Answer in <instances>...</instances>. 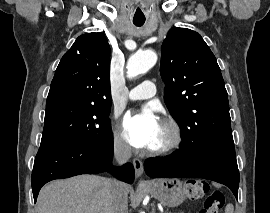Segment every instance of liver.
I'll return each instance as SVG.
<instances>
[{"label": "liver", "mask_w": 270, "mask_h": 213, "mask_svg": "<svg viewBox=\"0 0 270 213\" xmlns=\"http://www.w3.org/2000/svg\"><path fill=\"white\" fill-rule=\"evenodd\" d=\"M111 192V180L96 175L53 181L41 189L37 213H111Z\"/></svg>", "instance_id": "obj_1"}]
</instances>
